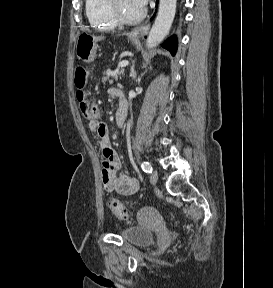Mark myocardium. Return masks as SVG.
Wrapping results in <instances>:
<instances>
[{"label":"myocardium","mask_w":273,"mask_h":288,"mask_svg":"<svg viewBox=\"0 0 273 288\" xmlns=\"http://www.w3.org/2000/svg\"><path fill=\"white\" fill-rule=\"evenodd\" d=\"M107 11L110 18L119 25H134L140 23L146 15V11L142 10L141 14L134 18H126L120 14L118 8V0H107Z\"/></svg>","instance_id":"myocardium-1"}]
</instances>
